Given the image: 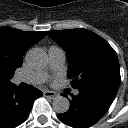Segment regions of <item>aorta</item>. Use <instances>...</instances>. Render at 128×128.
<instances>
[{"label":"aorta","instance_id":"obj_1","mask_svg":"<svg viewBox=\"0 0 128 128\" xmlns=\"http://www.w3.org/2000/svg\"><path fill=\"white\" fill-rule=\"evenodd\" d=\"M25 60L32 68H42L47 64V54L40 48H32L26 53ZM52 107L56 113L64 114L69 110L70 102L64 96H56Z\"/></svg>","mask_w":128,"mask_h":128}]
</instances>
